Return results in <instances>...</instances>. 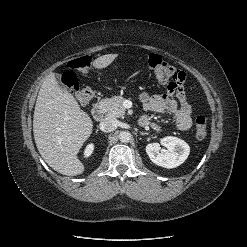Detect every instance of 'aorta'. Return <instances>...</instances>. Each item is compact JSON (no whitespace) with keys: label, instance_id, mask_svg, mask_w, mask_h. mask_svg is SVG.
I'll return each mask as SVG.
<instances>
[{"label":"aorta","instance_id":"obj_1","mask_svg":"<svg viewBox=\"0 0 247 247\" xmlns=\"http://www.w3.org/2000/svg\"><path fill=\"white\" fill-rule=\"evenodd\" d=\"M119 139H120V141L123 142V143H128V142L131 141L132 135H131V133L128 132V131H122V132H120V134H119Z\"/></svg>","mask_w":247,"mask_h":247}]
</instances>
